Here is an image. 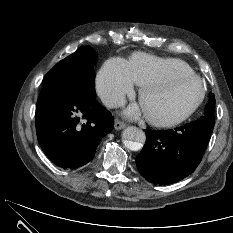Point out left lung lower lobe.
Segmentation results:
<instances>
[{"label": "left lung lower lobe", "instance_id": "1", "mask_svg": "<svg viewBox=\"0 0 233 233\" xmlns=\"http://www.w3.org/2000/svg\"><path fill=\"white\" fill-rule=\"evenodd\" d=\"M213 128L197 120L175 130H145L147 140L136 157L138 171L154 184L182 180L201 162Z\"/></svg>", "mask_w": 233, "mask_h": 233}]
</instances>
